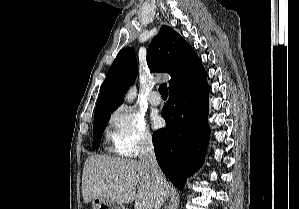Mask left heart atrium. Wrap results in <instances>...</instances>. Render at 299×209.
Listing matches in <instances>:
<instances>
[{
    "label": "left heart atrium",
    "instance_id": "1",
    "mask_svg": "<svg viewBox=\"0 0 299 209\" xmlns=\"http://www.w3.org/2000/svg\"><path fill=\"white\" fill-rule=\"evenodd\" d=\"M152 125L155 129L160 128L162 126V119L160 116L155 115L152 117Z\"/></svg>",
    "mask_w": 299,
    "mask_h": 209
}]
</instances>
